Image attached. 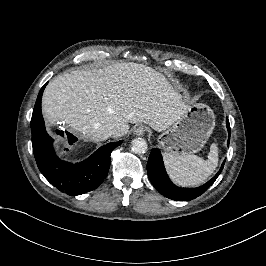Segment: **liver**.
<instances>
[{"label":"liver","instance_id":"1","mask_svg":"<svg viewBox=\"0 0 266 266\" xmlns=\"http://www.w3.org/2000/svg\"><path fill=\"white\" fill-rule=\"evenodd\" d=\"M190 107L163 74L134 62L59 75L42 97V111L50 124H64L93 142L100 141L103 128L115 129L114 138L124 136L128 123L164 131Z\"/></svg>","mask_w":266,"mask_h":266}]
</instances>
